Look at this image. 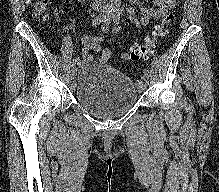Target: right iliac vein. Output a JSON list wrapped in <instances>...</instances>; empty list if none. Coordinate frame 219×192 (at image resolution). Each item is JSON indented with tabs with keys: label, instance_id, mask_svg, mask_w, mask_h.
<instances>
[{
	"label": "right iliac vein",
	"instance_id": "obj_1",
	"mask_svg": "<svg viewBox=\"0 0 219 192\" xmlns=\"http://www.w3.org/2000/svg\"><path fill=\"white\" fill-rule=\"evenodd\" d=\"M70 77L71 79H74L76 77V68H72L70 71Z\"/></svg>",
	"mask_w": 219,
	"mask_h": 192
}]
</instances>
